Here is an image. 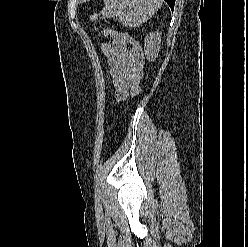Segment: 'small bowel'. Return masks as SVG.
<instances>
[{"label": "small bowel", "instance_id": "c3829d8e", "mask_svg": "<svg viewBox=\"0 0 248 247\" xmlns=\"http://www.w3.org/2000/svg\"><path fill=\"white\" fill-rule=\"evenodd\" d=\"M106 56L116 102L135 95L143 77V71L136 64V52L131 45L118 40L104 42L101 45Z\"/></svg>", "mask_w": 248, "mask_h": 247}]
</instances>
